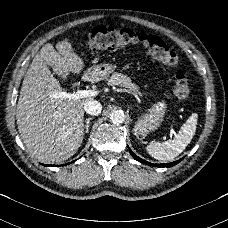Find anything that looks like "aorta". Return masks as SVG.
<instances>
[{
    "label": "aorta",
    "instance_id": "762f6f07",
    "mask_svg": "<svg viewBox=\"0 0 228 228\" xmlns=\"http://www.w3.org/2000/svg\"><path fill=\"white\" fill-rule=\"evenodd\" d=\"M110 121L115 125H120L125 120V115L121 110H114L109 116Z\"/></svg>",
    "mask_w": 228,
    "mask_h": 228
}]
</instances>
